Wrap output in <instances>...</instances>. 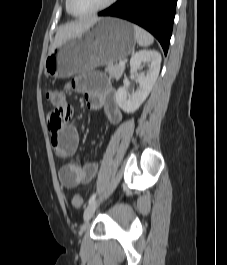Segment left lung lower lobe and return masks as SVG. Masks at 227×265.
<instances>
[{
  "label": "left lung lower lobe",
  "instance_id": "0a47b994",
  "mask_svg": "<svg viewBox=\"0 0 227 265\" xmlns=\"http://www.w3.org/2000/svg\"><path fill=\"white\" fill-rule=\"evenodd\" d=\"M177 0H118L99 16H114L145 28L160 42L167 54Z\"/></svg>",
  "mask_w": 227,
  "mask_h": 265
}]
</instances>
